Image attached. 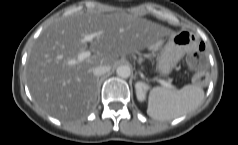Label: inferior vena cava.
<instances>
[{
	"label": "inferior vena cava",
	"mask_w": 238,
	"mask_h": 145,
	"mask_svg": "<svg viewBox=\"0 0 238 145\" xmlns=\"http://www.w3.org/2000/svg\"><path fill=\"white\" fill-rule=\"evenodd\" d=\"M111 67L108 65H99L93 69V74L97 77L104 75L105 73L109 72Z\"/></svg>",
	"instance_id": "602c4592"
}]
</instances>
